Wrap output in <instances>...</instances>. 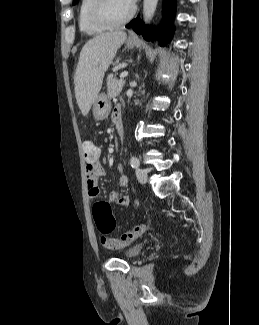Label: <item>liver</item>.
I'll return each mask as SVG.
<instances>
[{"label": "liver", "instance_id": "obj_1", "mask_svg": "<svg viewBox=\"0 0 259 325\" xmlns=\"http://www.w3.org/2000/svg\"><path fill=\"white\" fill-rule=\"evenodd\" d=\"M126 37L124 31H110L94 37L83 46L74 75V84L75 97L84 116L89 113L101 90L105 72Z\"/></svg>", "mask_w": 259, "mask_h": 325}]
</instances>
